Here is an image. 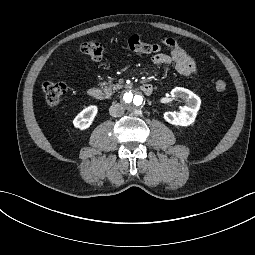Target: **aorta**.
<instances>
[{
    "instance_id": "762f6f07",
    "label": "aorta",
    "mask_w": 255,
    "mask_h": 255,
    "mask_svg": "<svg viewBox=\"0 0 255 255\" xmlns=\"http://www.w3.org/2000/svg\"><path fill=\"white\" fill-rule=\"evenodd\" d=\"M123 101L128 107L132 109H138L145 103L143 96L136 90H129L124 93Z\"/></svg>"
}]
</instances>
